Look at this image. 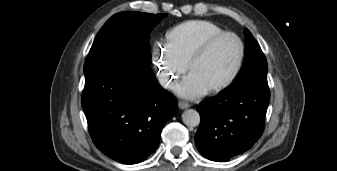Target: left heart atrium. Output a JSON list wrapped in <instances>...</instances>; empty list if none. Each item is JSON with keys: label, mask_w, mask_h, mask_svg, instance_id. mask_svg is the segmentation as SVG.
<instances>
[{"label": "left heart atrium", "mask_w": 337, "mask_h": 171, "mask_svg": "<svg viewBox=\"0 0 337 171\" xmlns=\"http://www.w3.org/2000/svg\"><path fill=\"white\" fill-rule=\"evenodd\" d=\"M177 92L186 98H195L207 93L209 88L194 74L191 73L176 87Z\"/></svg>", "instance_id": "obj_1"}]
</instances>
